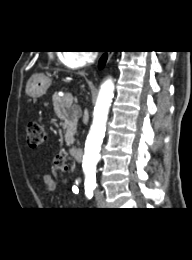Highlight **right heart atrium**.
<instances>
[{"mask_svg":"<svg viewBox=\"0 0 192 260\" xmlns=\"http://www.w3.org/2000/svg\"><path fill=\"white\" fill-rule=\"evenodd\" d=\"M59 59L65 67L78 69L92 60V54L88 51H63L60 53Z\"/></svg>","mask_w":192,"mask_h":260,"instance_id":"right-heart-atrium-1","label":"right heart atrium"}]
</instances>
